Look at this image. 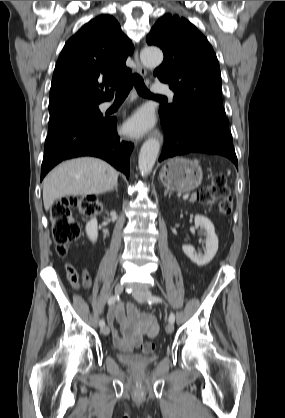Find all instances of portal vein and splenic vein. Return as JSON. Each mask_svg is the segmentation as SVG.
<instances>
[{"label":"portal vein and splenic vein","instance_id":"obj_1","mask_svg":"<svg viewBox=\"0 0 285 418\" xmlns=\"http://www.w3.org/2000/svg\"><path fill=\"white\" fill-rule=\"evenodd\" d=\"M189 198V194L187 193V194H185V195H183V200H186V199H188Z\"/></svg>","mask_w":285,"mask_h":418}]
</instances>
